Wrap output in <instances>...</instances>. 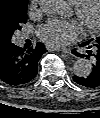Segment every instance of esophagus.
Returning a JSON list of instances; mask_svg holds the SVG:
<instances>
[{
    "mask_svg": "<svg viewBox=\"0 0 100 118\" xmlns=\"http://www.w3.org/2000/svg\"><path fill=\"white\" fill-rule=\"evenodd\" d=\"M46 49H47L48 51H59V49L53 48V47H51V46H49V45H46ZM62 52L71 54V52H70L69 50H66V49L62 50Z\"/></svg>",
    "mask_w": 100,
    "mask_h": 118,
    "instance_id": "34e87169",
    "label": "esophagus"
}]
</instances>
